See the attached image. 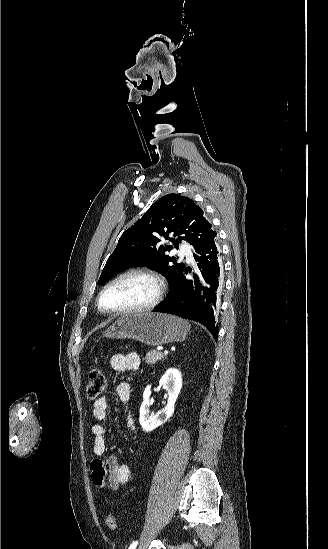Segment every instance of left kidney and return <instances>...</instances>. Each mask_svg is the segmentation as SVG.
<instances>
[{
	"instance_id": "5707ae66",
	"label": "left kidney",
	"mask_w": 328,
	"mask_h": 549,
	"mask_svg": "<svg viewBox=\"0 0 328 549\" xmlns=\"http://www.w3.org/2000/svg\"><path fill=\"white\" fill-rule=\"evenodd\" d=\"M159 385L165 389L168 393V401L166 407L162 411H158L156 415L150 413V395L152 393L150 385L146 387L143 393V403L140 407V425L145 431H153L159 425H163L165 421H168L172 417L175 409V403L178 399V395L182 387V377L178 369H167L165 375L161 377Z\"/></svg>"
}]
</instances>
